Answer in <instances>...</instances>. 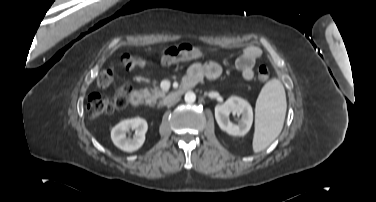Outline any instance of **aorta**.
Segmentation results:
<instances>
[{"instance_id": "obj_1", "label": "aorta", "mask_w": 376, "mask_h": 202, "mask_svg": "<svg viewBox=\"0 0 376 202\" xmlns=\"http://www.w3.org/2000/svg\"><path fill=\"white\" fill-rule=\"evenodd\" d=\"M184 100H185L186 103H194L195 100H196V95H195V93L192 92V91H188V92L185 94Z\"/></svg>"}]
</instances>
